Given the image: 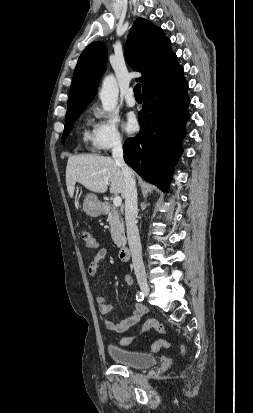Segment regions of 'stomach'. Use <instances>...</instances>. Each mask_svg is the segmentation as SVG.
Listing matches in <instances>:
<instances>
[{
  "label": "stomach",
  "instance_id": "1",
  "mask_svg": "<svg viewBox=\"0 0 253 413\" xmlns=\"http://www.w3.org/2000/svg\"><path fill=\"white\" fill-rule=\"evenodd\" d=\"M83 209L86 214L91 217H97L103 213V206L101 202L95 194L91 193L86 195L83 202Z\"/></svg>",
  "mask_w": 253,
  "mask_h": 413
}]
</instances>
